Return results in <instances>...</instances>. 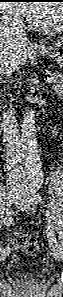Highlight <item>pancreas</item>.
<instances>
[{"label":"pancreas","instance_id":"pancreas-1","mask_svg":"<svg viewBox=\"0 0 63 297\" xmlns=\"http://www.w3.org/2000/svg\"><path fill=\"white\" fill-rule=\"evenodd\" d=\"M52 76L55 78V87L60 89L63 85V74L61 72L55 71L52 73Z\"/></svg>","mask_w":63,"mask_h":297}]
</instances>
